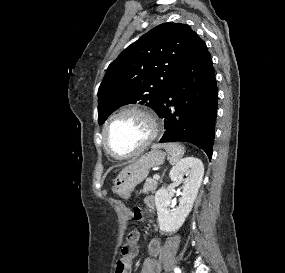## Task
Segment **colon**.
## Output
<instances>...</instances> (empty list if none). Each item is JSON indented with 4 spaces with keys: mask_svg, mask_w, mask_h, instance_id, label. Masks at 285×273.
Masks as SVG:
<instances>
[{
    "mask_svg": "<svg viewBox=\"0 0 285 273\" xmlns=\"http://www.w3.org/2000/svg\"><path fill=\"white\" fill-rule=\"evenodd\" d=\"M132 212L134 222H141L142 207H133ZM139 239L138 232L129 235L127 243L122 247L121 257L116 261L114 273H130L132 261L138 254Z\"/></svg>",
    "mask_w": 285,
    "mask_h": 273,
    "instance_id": "colon-1",
    "label": "colon"
}]
</instances>
